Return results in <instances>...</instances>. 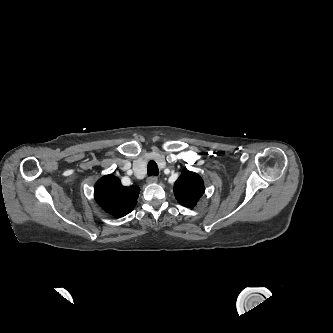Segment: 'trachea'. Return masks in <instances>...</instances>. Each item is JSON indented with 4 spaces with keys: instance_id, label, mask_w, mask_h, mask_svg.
Segmentation results:
<instances>
[{
    "instance_id": "3493384b",
    "label": "trachea",
    "mask_w": 333,
    "mask_h": 333,
    "mask_svg": "<svg viewBox=\"0 0 333 333\" xmlns=\"http://www.w3.org/2000/svg\"><path fill=\"white\" fill-rule=\"evenodd\" d=\"M148 176H157L159 174V169L155 161H149L147 166Z\"/></svg>"
}]
</instances>
